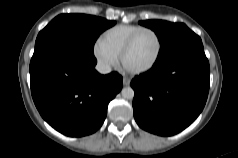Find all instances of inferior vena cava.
Here are the masks:
<instances>
[{"label": "inferior vena cava", "mask_w": 238, "mask_h": 158, "mask_svg": "<svg viewBox=\"0 0 238 158\" xmlns=\"http://www.w3.org/2000/svg\"><path fill=\"white\" fill-rule=\"evenodd\" d=\"M96 70L101 74H108L111 72V67L108 63L100 61L96 65Z\"/></svg>", "instance_id": "1"}]
</instances>
